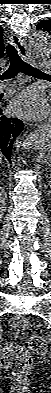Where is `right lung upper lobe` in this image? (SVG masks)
<instances>
[{"mask_svg": "<svg viewBox=\"0 0 51 393\" xmlns=\"http://www.w3.org/2000/svg\"><path fill=\"white\" fill-rule=\"evenodd\" d=\"M3 54H4L3 29L0 27V58L3 57Z\"/></svg>", "mask_w": 51, "mask_h": 393, "instance_id": "obj_1", "label": "right lung upper lobe"}]
</instances>
